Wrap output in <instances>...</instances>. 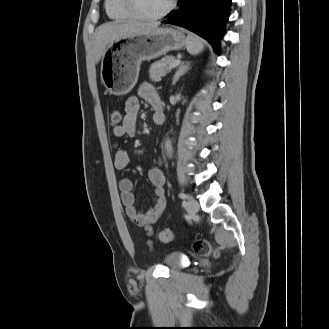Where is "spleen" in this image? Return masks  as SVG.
<instances>
[{"label":"spleen","mask_w":329,"mask_h":329,"mask_svg":"<svg viewBox=\"0 0 329 329\" xmlns=\"http://www.w3.org/2000/svg\"><path fill=\"white\" fill-rule=\"evenodd\" d=\"M186 48L191 55H197L203 50L201 39L195 35H188L186 38Z\"/></svg>","instance_id":"spleen-1"}]
</instances>
